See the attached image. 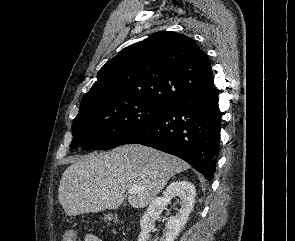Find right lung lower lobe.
Segmentation results:
<instances>
[{"instance_id":"1","label":"right lung lower lobe","mask_w":295,"mask_h":241,"mask_svg":"<svg viewBox=\"0 0 295 241\" xmlns=\"http://www.w3.org/2000/svg\"><path fill=\"white\" fill-rule=\"evenodd\" d=\"M220 131L218 90L213 85L174 99L155 118L125 136L120 145L142 144L173 154L211 180Z\"/></svg>"}]
</instances>
